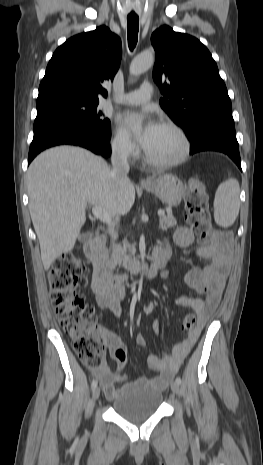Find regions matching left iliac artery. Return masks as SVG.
Instances as JSON below:
<instances>
[{
    "label": "left iliac artery",
    "instance_id": "44dca946",
    "mask_svg": "<svg viewBox=\"0 0 263 465\" xmlns=\"http://www.w3.org/2000/svg\"><path fill=\"white\" fill-rule=\"evenodd\" d=\"M176 382H177L179 385H181V383H182L181 378H180V377H177V378H176Z\"/></svg>",
    "mask_w": 263,
    "mask_h": 465
}]
</instances>
